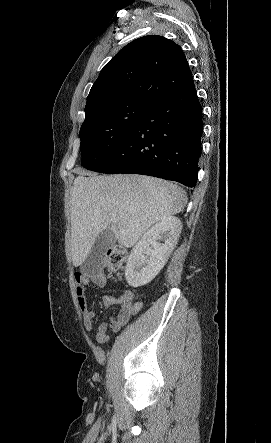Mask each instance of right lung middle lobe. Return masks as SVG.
Masks as SVG:
<instances>
[{
    "label": "right lung middle lobe",
    "instance_id": "1",
    "mask_svg": "<svg viewBox=\"0 0 271 443\" xmlns=\"http://www.w3.org/2000/svg\"><path fill=\"white\" fill-rule=\"evenodd\" d=\"M149 105L144 100L128 99L97 107L80 129L81 165L93 171L102 166Z\"/></svg>",
    "mask_w": 271,
    "mask_h": 443
}]
</instances>
